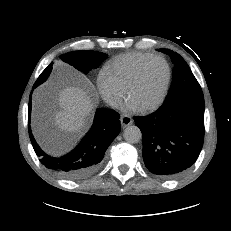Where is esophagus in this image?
<instances>
[{"mask_svg":"<svg viewBox=\"0 0 231 231\" xmlns=\"http://www.w3.org/2000/svg\"><path fill=\"white\" fill-rule=\"evenodd\" d=\"M120 122L121 126L125 128L133 123V119L129 115H122L120 118Z\"/></svg>","mask_w":231,"mask_h":231,"instance_id":"esophagus-1","label":"esophagus"}]
</instances>
